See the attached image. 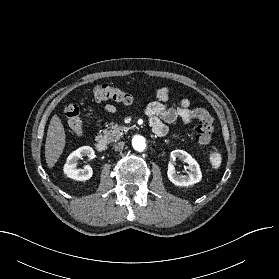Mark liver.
<instances>
[{
  "label": "liver",
  "mask_w": 279,
  "mask_h": 279,
  "mask_svg": "<svg viewBox=\"0 0 279 279\" xmlns=\"http://www.w3.org/2000/svg\"><path fill=\"white\" fill-rule=\"evenodd\" d=\"M66 142V135L63 124L57 115L51 118L48 126L46 143H45V158L48 168H52L62 154Z\"/></svg>",
  "instance_id": "obj_1"
}]
</instances>
